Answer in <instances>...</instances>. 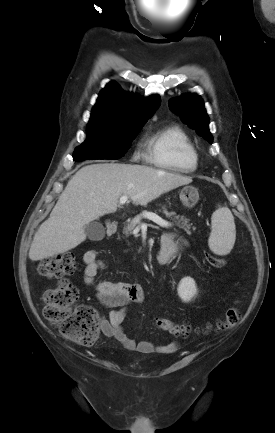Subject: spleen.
Masks as SVG:
<instances>
[{
	"mask_svg": "<svg viewBox=\"0 0 275 433\" xmlns=\"http://www.w3.org/2000/svg\"><path fill=\"white\" fill-rule=\"evenodd\" d=\"M236 239L234 217L227 207H219L211 217L210 250L217 255H227Z\"/></svg>",
	"mask_w": 275,
	"mask_h": 433,
	"instance_id": "obj_1",
	"label": "spleen"
}]
</instances>
